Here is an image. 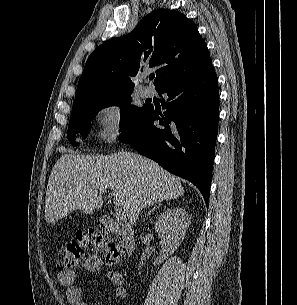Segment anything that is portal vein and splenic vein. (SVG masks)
Segmentation results:
<instances>
[{
	"mask_svg": "<svg viewBox=\"0 0 297 305\" xmlns=\"http://www.w3.org/2000/svg\"><path fill=\"white\" fill-rule=\"evenodd\" d=\"M115 216H116L117 219L126 218V214H125L123 209H116Z\"/></svg>",
	"mask_w": 297,
	"mask_h": 305,
	"instance_id": "1",
	"label": "portal vein and splenic vein"
}]
</instances>
